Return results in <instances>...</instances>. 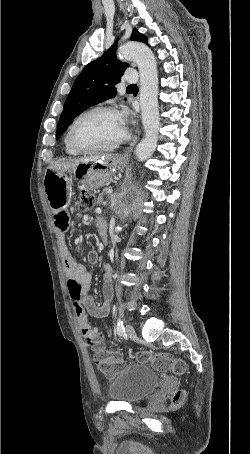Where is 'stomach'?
<instances>
[{"label": "stomach", "mask_w": 250, "mask_h": 454, "mask_svg": "<svg viewBox=\"0 0 250 454\" xmlns=\"http://www.w3.org/2000/svg\"><path fill=\"white\" fill-rule=\"evenodd\" d=\"M126 166V159L111 155L87 163H78L75 166L55 163L48 167L45 176H75L86 189H96L108 184L115 171H122Z\"/></svg>", "instance_id": "1"}]
</instances>
